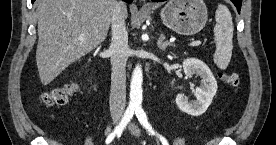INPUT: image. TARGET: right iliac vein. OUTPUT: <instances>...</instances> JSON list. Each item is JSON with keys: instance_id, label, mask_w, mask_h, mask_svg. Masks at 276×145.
Listing matches in <instances>:
<instances>
[{"instance_id": "right-iliac-vein-1", "label": "right iliac vein", "mask_w": 276, "mask_h": 145, "mask_svg": "<svg viewBox=\"0 0 276 145\" xmlns=\"http://www.w3.org/2000/svg\"><path fill=\"white\" fill-rule=\"evenodd\" d=\"M120 119H121V116H120V115H115V116H113V122H114L115 124H117V123L120 121Z\"/></svg>"}]
</instances>
